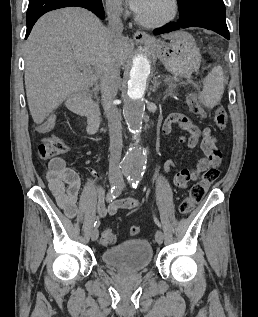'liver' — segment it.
<instances>
[{"mask_svg": "<svg viewBox=\"0 0 258 317\" xmlns=\"http://www.w3.org/2000/svg\"><path fill=\"white\" fill-rule=\"evenodd\" d=\"M162 38H176V32ZM129 50L125 36L112 50L106 26L86 8L69 6L43 14L24 46L26 94L34 122L41 124L66 98L96 82L107 54H116L124 64Z\"/></svg>", "mask_w": 258, "mask_h": 317, "instance_id": "obj_1", "label": "liver"}]
</instances>
